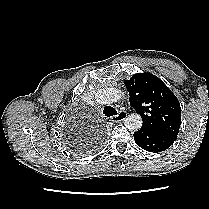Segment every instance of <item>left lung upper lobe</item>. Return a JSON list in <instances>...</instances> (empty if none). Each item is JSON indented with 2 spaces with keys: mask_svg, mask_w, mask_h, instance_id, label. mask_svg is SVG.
<instances>
[{
  "mask_svg": "<svg viewBox=\"0 0 209 209\" xmlns=\"http://www.w3.org/2000/svg\"><path fill=\"white\" fill-rule=\"evenodd\" d=\"M130 104L141 115L142 128L177 137L180 103L161 79L150 73H139L125 81Z\"/></svg>",
  "mask_w": 209,
  "mask_h": 209,
  "instance_id": "obj_1",
  "label": "left lung upper lobe"
}]
</instances>
